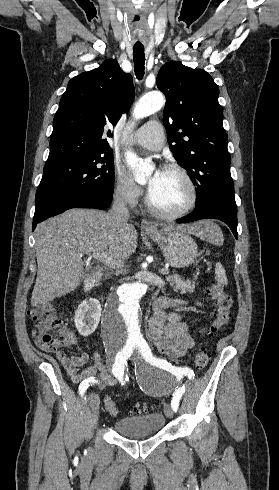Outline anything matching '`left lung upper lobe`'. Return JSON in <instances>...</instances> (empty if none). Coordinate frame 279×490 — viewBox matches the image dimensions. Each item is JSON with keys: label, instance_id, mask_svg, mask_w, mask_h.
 <instances>
[{"label": "left lung upper lobe", "instance_id": "1", "mask_svg": "<svg viewBox=\"0 0 279 490\" xmlns=\"http://www.w3.org/2000/svg\"><path fill=\"white\" fill-rule=\"evenodd\" d=\"M156 84L167 99L163 122L169 147L196 186V208L218 200L236 209L218 86L207 72L176 61L161 67Z\"/></svg>", "mask_w": 279, "mask_h": 490}]
</instances>
